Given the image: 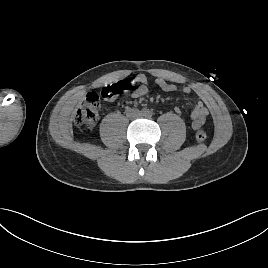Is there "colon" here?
Instances as JSON below:
<instances>
[{"mask_svg": "<svg viewBox=\"0 0 268 268\" xmlns=\"http://www.w3.org/2000/svg\"><path fill=\"white\" fill-rule=\"evenodd\" d=\"M134 84L135 79L129 77L118 83L103 87L99 94L95 92L88 93L85 102L75 112L74 121L76 125L87 129L93 128L99 118L101 99L113 100L122 92L131 89ZM206 138L207 134L203 129L195 132L197 142H203Z\"/></svg>", "mask_w": 268, "mask_h": 268, "instance_id": "1", "label": "colon"}]
</instances>
